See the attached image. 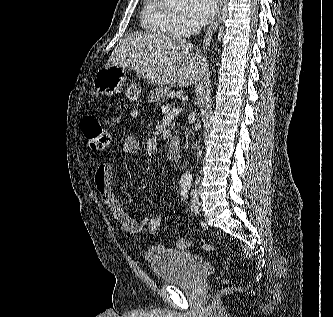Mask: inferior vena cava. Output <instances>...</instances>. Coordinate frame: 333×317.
<instances>
[{"label": "inferior vena cava", "mask_w": 333, "mask_h": 317, "mask_svg": "<svg viewBox=\"0 0 333 317\" xmlns=\"http://www.w3.org/2000/svg\"><path fill=\"white\" fill-rule=\"evenodd\" d=\"M194 32H195L196 34H199V33L201 32V28L198 27V26L195 27Z\"/></svg>", "instance_id": "1"}]
</instances>
